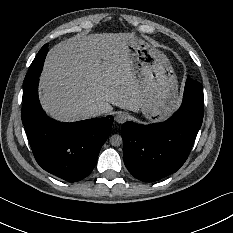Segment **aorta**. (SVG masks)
I'll list each match as a JSON object with an SVG mask.
<instances>
[{
  "label": "aorta",
  "mask_w": 233,
  "mask_h": 233,
  "mask_svg": "<svg viewBox=\"0 0 233 233\" xmlns=\"http://www.w3.org/2000/svg\"><path fill=\"white\" fill-rule=\"evenodd\" d=\"M109 141H110V144L115 147H118L123 143L122 137L118 134L112 135Z\"/></svg>",
  "instance_id": "762f6f07"
}]
</instances>
